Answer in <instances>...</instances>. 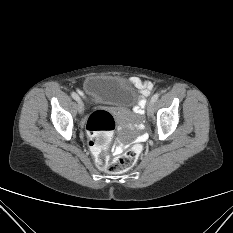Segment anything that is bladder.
Returning <instances> with one entry per match:
<instances>
[{
    "label": "bladder",
    "mask_w": 233,
    "mask_h": 233,
    "mask_svg": "<svg viewBox=\"0 0 233 233\" xmlns=\"http://www.w3.org/2000/svg\"><path fill=\"white\" fill-rule=\"evenodd\" d=\"M83 90L92 103L102 105L129 107L139 99L134 85L119 76H88L83 82Z\"/></svg>",
    "instance_id": "1"
}]
</instances>
